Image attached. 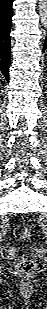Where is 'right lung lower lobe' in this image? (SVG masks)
<instances>
[{
    "label": "right lung lower lobe",
    "instance_id": "right-lung-lower-lobe-1",
    "mask_svg": "<svg viewBox=\"0 0 47 309\" xmlns=\"http://www.w3.org/2000/svg\"><path fill=\"white\" fill-rule=\"evenodd\" d=\"M13 0H0V71L9 80Z\"/></svg>",
    "mask_w": 47,
    "mask_h": 309
}]
</instances>
